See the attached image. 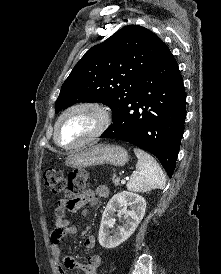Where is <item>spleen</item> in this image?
<instances>
[{
	"label": "spleen",
	"instance_id": "1",
	"mask_svg": "<svg viewBox=\"0 0 221 274\" xmlns=\"http://www.w3.org/2000/svg\"><path fill=\"white\" fill-rule=\"evenodd\" d=\"M138 158L136 171L127 183V189L132 192H148L153 189H163L166 185L165 175L156 160L139 148H134Z\"/></svg>",
	"mask_w": 221,
	"mask_h": 274
}]
</instances>
